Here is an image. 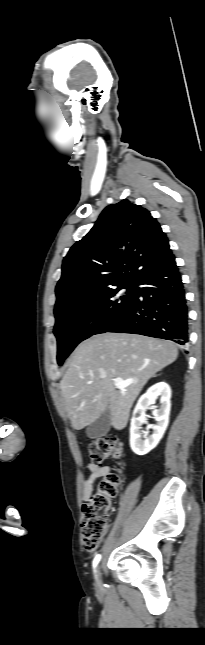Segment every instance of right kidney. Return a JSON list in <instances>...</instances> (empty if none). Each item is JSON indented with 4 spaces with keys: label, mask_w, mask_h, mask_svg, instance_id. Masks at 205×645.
Here are the masks:
<instances>
[{
    "label": "right kidney",
    "mask_w": 205,
    "mask_h": 645,
    "mask_svg": "<svg viewBox=\"0 0 205 645\" xmlns=\"http://www.w3.org/2000/svg\"><path fill=\"white\" fill-rule=\"evenodd\" d=\"M158 397L160 406L152 413L156 424L151 425L153 432L149 435L148 431L142 430V425L146 423L145 411L150 405L155 404ZM170 398V386L165 382H159L151 386L138 400L130 424V447L135 454L149 453L162 439L169 423Z\"/></svg>",
    "instance_id": "right-kidney-1"
}]
</instances>
